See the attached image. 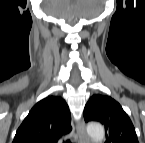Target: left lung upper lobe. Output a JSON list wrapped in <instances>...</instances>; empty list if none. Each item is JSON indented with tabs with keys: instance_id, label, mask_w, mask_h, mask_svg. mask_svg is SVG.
Instances as JSON below:
<instances>
[{
	"instance_id": "5c2ea615",
	"label": "left lung upper lobe",
	"mask_w": 145,
	"mask_h": 143,
	"mask_svg": "<svg viewBox=\"0 0 145 143\" xmlns=\"http://www.w3.org/2000/svg\"><path fill=\"white\" fill-rule=\"evenodd\" d=\"M84 119L105 126V143H139L135 128L121 105L109 96L93 95L84 109Z\"/></svg>"
}]
</instances>
